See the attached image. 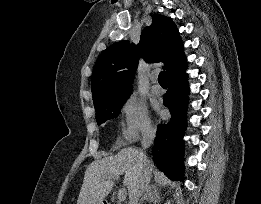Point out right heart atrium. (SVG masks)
<instances>
[{
	"mask_svg": "<svg viewBox=\"0 0 261 204\" xmlns=\"http://www.w3.org/2000/svg\"><path fill=\"white\" fill-rule=\"evenodd\" d=\"M121 114L123 118L121 134L126 143L132 144L153 134L154 126L148 109L140 99L129 97L121 106Z\"/></svg>",
	"mask_w": 261,
	"mask_h": 204,
	"instance_id": "obj_1",
	"label": "right heart atrium"
}]
</instances>
